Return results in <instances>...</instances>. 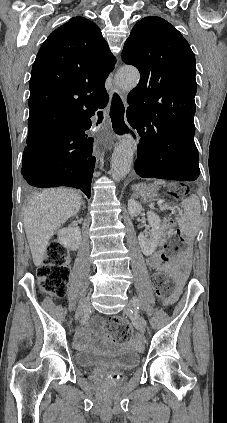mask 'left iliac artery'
Segmentation results:
<instances>
[{"label": "left iliac artery", "mask_w": 227, "mask_h": 423, "mask_svg": "<svg viewBox=\"0 0 227 423\" xmlns=\"http://www.w3.org/2000/svg\"><path fill=\"white\" fill-rule=\"evenodd\" d=\"M132 302H133V303H137V306H136L135 308H136V309H139V307H138V305H139L138 300H137L136 298H133Z\"/></svg>", "instance_id": "obj_1"}]
</instances>
